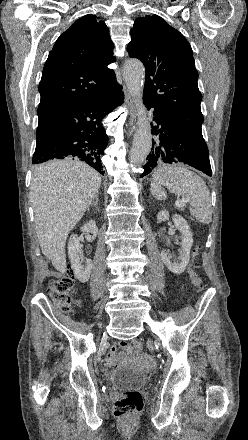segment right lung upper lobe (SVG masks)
Segmentation results:
<instances>
[{
	"label": "right lung upper lobe",
	"mask_w": 248,
	"mask_h": 440,
	"mask_svg": "<svg viewBox=\"0 0 248 440\" xmlns=\"http://www.w3.org/2000/svg\"><path fill=\"white\" fill-rule=\"evenodd\" d=\"M113 48L103 21L92 14L78 19L57 39L44 65L38 117L106 92L116 80L107 68L115 61Z\"/></svg>",
	"instance_id": "right-lung-upper-lobe-1"
}]
</instances>
